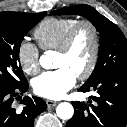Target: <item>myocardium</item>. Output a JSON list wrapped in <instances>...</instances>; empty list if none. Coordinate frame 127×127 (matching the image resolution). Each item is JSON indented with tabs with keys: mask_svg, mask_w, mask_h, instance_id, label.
I'll return each mask as SVG.
<instances>
[{
	"mask_svg": "<svg viewBox=\"0 0 127 127\" xmlns=\"http://www.w3.org/2000/svg\"><path fill=\"white\" fill-rule=\"evenodd\" d=\"M84 28L88 29L91 33L93 47H92L90 61H89L87 68L82 73L77 75V78L80 80H85L89 78L94 72L97 66V63H98L101 42H100V34H99V31L96 25L89 20L79 21L66 34L60 46L56 49L57 53L59 54H62V55L67 54L70 51L76 36Z\"/></svg>",
	"mask_w": 127,
	"mask_h": 127,
	"instance_id": "obj_1",
	"label": "myocardium"
}]
</instances>
